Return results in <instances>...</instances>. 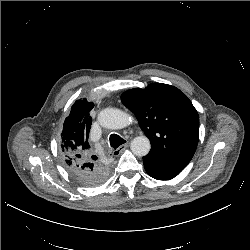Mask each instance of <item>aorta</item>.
<instances>
[{
  "label": "aorta",
  "instance_id": "obj_1",
  "mask_svg": "<svg viewBox=\"0 0 250 250\" xmlns=\"http://www.w3.org/2000/svg\"><path fill=\"white\" fill-rule=\"evenodd\" d=\"M98 120L102 127L116 130L128 125L129 116L121 110L107 108L100 112ZM130 148L136 156H145L151 148L150 140L144 135L135 137L131 141Z\"/></svg>",
  "mask_w": 250,
  "mask_h": 250
}]
</instances>
